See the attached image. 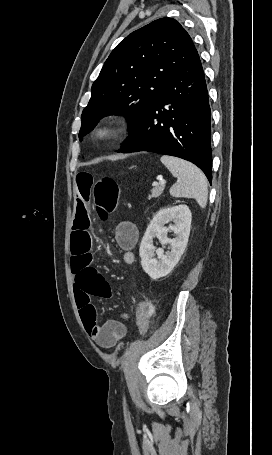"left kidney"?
Wrapping results in <instances>:
<instances>
[{"mask_svg": "<svg viewBox=\"0 0 272 455\" xmlns=\"http://www.w3.org/2000/svg\"><path fill=\"white\" fill-rule=\"evenodd\" d=\"M191 219L189 207L178 205L160 209L151 220L142 238L139 255L143 270L152 279L168 275L179 262L188 243ZM170 221L174 225L165 227ZM170 230L176 234L173 239L167 237ZM154 238H158L162 245L169 244L171 251L164 253L163 249H156L153 245Z\"/></svg>", "mask_w": 272, "mask_h": 455, "instance_id": "5707ae66", "label": "left kidney"}]
</instances>
